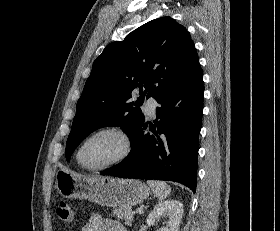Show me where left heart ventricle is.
Segmentation results:
<instances>
[{"mask_svg": "<svg viewBox=\"0 0 280 231\" xmlns=\"http://www.w3.org/2000/svg\"><path fill=\"white\" fill-rule=\"evenodd\" d=\"M123 149L124 143L119 135L102 133L87 142L81 160L88 167H101L119 157Z\"/></svg>", "mask_w": 280, "mask_h": 231, "instance_id": "obj_1", "label": "left heart ventricle"}]
</instances>
